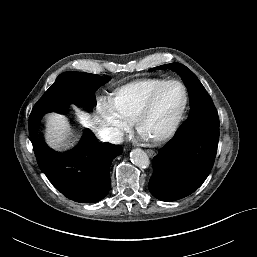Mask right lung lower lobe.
<instances>
[{
    "mask_svg": "<svg viewBox=\"0 0 257 257\" xmlns=\"http://www.w3.org/2000/svg\"><path fill=\"white\" fill-rule=\"evenodd\" d=\"M39 125L40 121L30 130V140L35 156L49 181L70 200L80 203L102 200L110 189V165L122 152V148L95 140L88 152L76 161L61 159L63 154L56 155L52 151L49 154L39 141Z\"/></svg>",
    "mask_w": 257,
    "mask_h": 257,
    "instance_id": "1",
    "label": "right lung lower lobe"
}]
</instances>
